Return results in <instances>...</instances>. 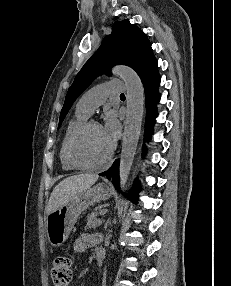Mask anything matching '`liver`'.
<instances>
[{
	"label": "liver",
	"instance_id": "6515ba94",
	"mask_svg": "<svg viewBox=\"0 0 231 286\" xmlns=\"http://www.w3.org/2000/svg\"><path fill=\"white\" fill-rule=\"evenodd\" d=\"M97 179L98 176L94 174H80L62 180L50 195L47 215L62 207L74 195L91 187Z\"/></svg>",
	"mask_w": 231,
	"mask_h": 286
}]
</instances>
